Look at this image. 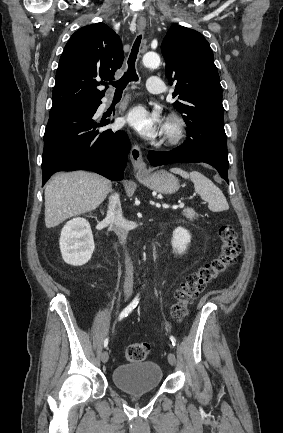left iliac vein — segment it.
<instances>
[{
  "instance_id": "obj_1",
  "label": "left iliac vein",
  "mask_w": 283,
  "mask_h": 433,
  "mask_svg": "<svg viewBox=\"0 0 283 433\" xmlns=\"http://www.w3.org/2000/svg\"><path fill=\"white\" fill-rule=\"evenodd\" d=\"M168 362L172 366H174L176 364V356L174 353L171 352L168 354Z\"/></svg>"
}]
</instances>
